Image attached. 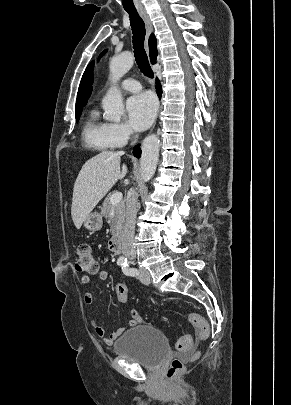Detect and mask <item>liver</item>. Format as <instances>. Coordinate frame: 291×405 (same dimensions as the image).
Segmentation results:
<instances>
[{
	"mask_svg": "<svg viewBox=\"0 0 291 405\" xmlns=\"http://www.w3.org/2000/svg\"><path fill=\"white\" fill-rule=\"evenodd\" d=\"M122 152L102 151L82 166L74 184L71 216L80 229L98 202L114 184L125 177L127 166L120 168Z\"/></svg>",
	"mask_w": 291,
	"mask_h": 405,
	"instance_id": "6515ba94",
	"label": "liver"
}]
</instances>
